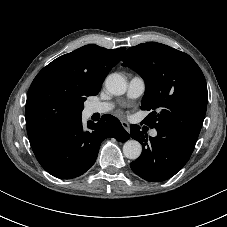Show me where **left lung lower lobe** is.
Listing matches in <instances>:
<instances>
[{
    "label": "left lung lower lobe",
    "instance_id": "1",
    "mask_svg": "<svg viewBox=\"0 0 227 227\" xmlns=\"http://www.w3.org/2000/svg\"><path fill=\"white\" fill-rule=\"evenodd\" d=\"M156 137H148L138 125L130 126V136L142 144L143 152L131 169L151 182L165 181L174 176L188 162L194 147L191 141L167 129H157Z\"/></svg>",
    "mask_w": 227,
    "mask_h": 227
}]
</instances>
